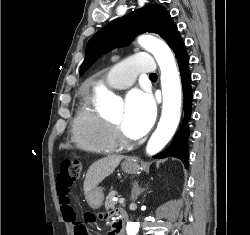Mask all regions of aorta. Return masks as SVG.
<instances>
[{
    "mask_svg": "<svg viewBox=\"0 0 250 235\" xmlns=\"http://www.w3.org/2000/svg\"><path fill=\"white\" fill-rule=\"evenodd\" d=\"M138 43L153 54L161 70L162 115L146 147L147 153L154 155L170 141L178 126L181 116V83L174 56L165 42L153 36L142 35L138 38ZM104 99L117 109L119 101L113 94L107 93ZM139 226V222H128L127 235H136Z\"/></svg>",
    "mask_w": 250,
    "mask_h": 235,
    "instance_id": "762f6f07",
    "label": "aorta"
}]
</instances>
